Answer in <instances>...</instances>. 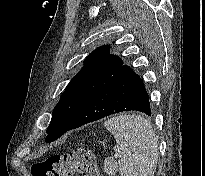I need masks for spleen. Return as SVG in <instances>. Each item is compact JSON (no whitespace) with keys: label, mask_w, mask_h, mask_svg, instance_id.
<instances>
[{"label":"spleen","mask_w":205,"mask_h":176,"mask_svg":"<svg viewBox=\"0 0 205 176\" xmlns=\"http://www.w3.org/2000/svg\"><path fill=\"white\" fill-rule=\"evenodd\" d=\"M123 156L120 176H154L158 159V139L151 123L140 115H120L104 123Z\"/></svg>","instance_id":"obj_1"}]
</instances>
